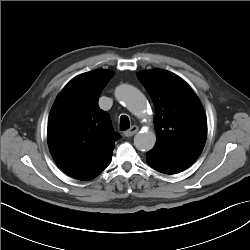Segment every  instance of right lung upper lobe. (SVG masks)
Returning a JSON list of instances; mask_svg holds the SVG:
<instances>
[{
    "mask_svg": "<svg viewBox=\"0 0 250 250\" xmlns=\"http://www.w3.org/2000/svg\"><path fill=\"white\" fill-rule=\"evenodd\" d=\"M114 73L94 70L72 79L55 100L48 120V145L58 166L83 179L112 158L120 138L98 99Z\"/></svg>",
    "mask_w": 250,
    "mask_h": 250,
    "instance_id": "1",
    "label": "right lung upper lobe"
}]
</instances>
